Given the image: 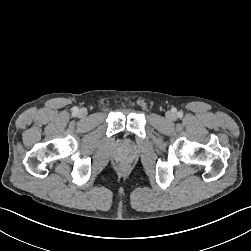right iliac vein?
<instances>
[{
    "label": "right iliac vein",
    "mask_w": 251,
    "mask_h": 251,
    "mask_svg": "<svg viewBox=\"0 0 251 251\" xmlns=\"http://www.w3.org/2000/svg\"><path fill=\"white\" fill-rule=\"evenodd\" d=\"M86 114H87V111H86L85 109H81V110L79 111V115H80L81 117L85 116Z\"/></svg>",
    "instance_id": "63e3f726"
}]
</instances>
